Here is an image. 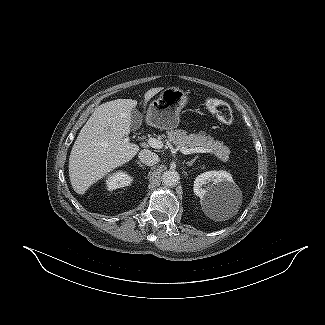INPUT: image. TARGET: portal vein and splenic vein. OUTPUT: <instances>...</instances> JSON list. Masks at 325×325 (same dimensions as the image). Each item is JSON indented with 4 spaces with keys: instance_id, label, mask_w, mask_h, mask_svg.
I'll use <instances>...</instances> for the list:
<instances>
[{
    "instance_id": "1",
    "label": "portal vein and splenic vein",
    "mask_w": 325,
    "mask_h": 325,
    "mask_svg": "<svg viewBox=\"0 0 325 325\" xmlns=\"http://www.w3.org/2000/svg\"><path fill=\"white\" fill-rule=\"evenodd\" d=\"M128 140H129L128 138H125V141H128ZM147 142L152 148L161 149L163 147L162 141H160L156 138L151 137L148 139ZM180 151L185 155L192 154V153H210V152H212L211 149L203 148V147H195V148H191V149L181 147Z\"/></svg>"
}]
</instances>
